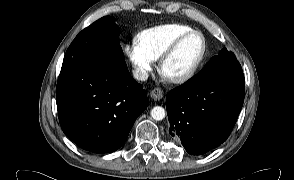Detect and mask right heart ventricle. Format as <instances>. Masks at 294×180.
Returning <instances> with one entry per match:
<instances>
[{"label":"right heart ventricle","mask_w":294,"mask_h":180,"mask_svg":"<svg viewBox=\"0 0 294 180\" xmlns=\"http://www.w3.org/2000/svg\"><path fill=\"white\" fill-rule=\"evenodd\" d=\"M191 30L181 23L162 24L139 31L136 39L154 60H158L173 41Z\"/></svg>","instance_id":"obj_1"}]
</instances>
